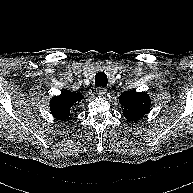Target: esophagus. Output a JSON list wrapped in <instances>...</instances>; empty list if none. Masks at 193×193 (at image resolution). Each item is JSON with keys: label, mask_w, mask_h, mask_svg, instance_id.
Returning <instances> with one entry per match:
<instances>
[{"label": "esophagus", "mask_w": 193, "mask_h": 193, "mask_svg": "<svg viewBox=\"0 0 193 193\" xmlns=\"http://www.w3.org/2000/svg\"><path fill=\"white\" fill-rule=\"evenodd\" d=\"M96 92L98 95L103 96L106 94L107 89L104 87H98V88H96Z\"/></svg>", "instance_id": "1"}]
</instances>
